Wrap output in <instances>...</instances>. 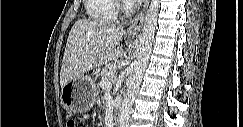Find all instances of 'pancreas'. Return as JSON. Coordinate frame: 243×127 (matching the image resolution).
<instances>
[{
  "label": "pancreas",
  "mask_w": 243,
  "mask_h": 127,
  "mask_svg": "<svg viewBox=\"0 0 243 127\" xmlns=\"http://www.w3.org/2000/svg\"><path fill=\"white\" fill-rule=\"evenodd\" d=\"M117 70V66L115 63L112 64H108L105 66V68L102 69V71L100 72V76H101V81L110 78Z\"/></svg>",
  "instance_id": "obj_1"
}]
</instances>
